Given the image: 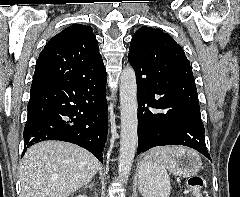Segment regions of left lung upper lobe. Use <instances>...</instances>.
I'll list each match as a JSON object with an SVG mask.
<instances>
[{"mask_svg":"<svg viewBox=\"0 0 240 197\" xmlns=\"http://www.w3.org/2000/svg\"><path fill=\"white\" fill-rule=\"evenodd\" d=\"M128 60L137 71L170 83H194L190 62L183 49L167 33L141 27L132 37Z\"/></svg>","mask_w":240,"mask_h":197,"instance_id":"obj_1","label":"left lung upper lobe"}]
</instances>
